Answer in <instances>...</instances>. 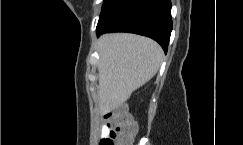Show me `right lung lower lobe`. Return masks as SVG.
<instances>
[{"mask_svg":"<svg viewBox=\"0 0 243 145\" xmlns=\"http://www.w3.org/2000/svg\"><path fill=\"white\" fill-rule=\"evenodd\" d=\"M172 31L170 0H104L96 32L150 37L167 52Z\"/></svg>","mask_w":243,"mask_h":145,"instance_id":"obj_1","label":"right lung lower lobe"}]
</instances>
